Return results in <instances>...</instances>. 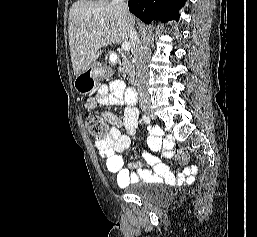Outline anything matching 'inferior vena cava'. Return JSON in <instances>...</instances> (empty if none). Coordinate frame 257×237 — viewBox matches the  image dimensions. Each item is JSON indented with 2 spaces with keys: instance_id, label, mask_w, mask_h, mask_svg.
Here are the masks:
<instances>
[{
  "instance_id": "inferior-vena-cava-1",
  "label": "inferior vena cava",
  "mask_w": 257,
  "mask_h": 237,
  "mask_svg": "<svg viewBox=\"0 0 257 237\" xmlns=\"http://www.w3.org/2000/svg\"><path fill=\"white\" fill-rule=\"evenodd\" d=\"M113 5L128 11L127 0H113ZM130 39L132 43V52L136 65V86L138 91L139 103L142 105L150 101V96L147 90V58L143 51L141 42L134 29V25H130Z\"/></svg>"
}]
</instances>
